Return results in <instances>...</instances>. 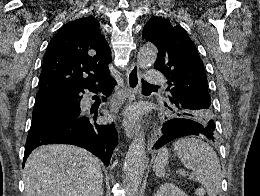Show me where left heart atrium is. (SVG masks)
Instances as JSON below:
<instances>
[{"mask_svg":"<svg viewBox=\"0 0 260 196\" xmlns=\"http://www.w3.org/2000/svg\"><path fill=\"white\" fill-rule=\"evenodd\" d=\"M126 114L128 117L136 118L138 116V109L136 107H131Z\"/></svg>","mask_w":260,"mask_h":196,"instance_id":"1","label":"left heart atrium"}]
</instances>
